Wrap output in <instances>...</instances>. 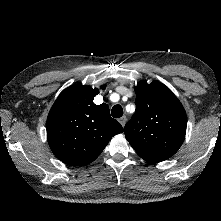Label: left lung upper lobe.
Listing matches in <instances>:
<instances>
[{
  "label": "left lung upper lobe",
  "instance_id": "5c2ea615",
  "mask_svg": "<svg viewBox=\"0 0 221 221\" xmlns=\"http://www.w3.org/2000/svg\"><path fill=\"white\" fill-rule=\"evenodd\" d=\"M136 111L125 125V136L138 155L150 163L174 155L185 137V110L173 92L159 81H141L135 88Z\"/></svg>",
  "mask_w": 221,
  "mask_h": 221
}]
</instances>
